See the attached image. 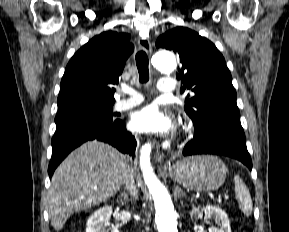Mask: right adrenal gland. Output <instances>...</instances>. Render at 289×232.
Wrapping results in <instances>:
<instances>
[{
    "label": "right adrenal gland",
    "mask_w": 289,
    "mask_h": 232,
    "mask_svg": "<svg viewBox=\"0 0 289 232\" xmlns=\"http://www.w3.org/2000/svg\"><path fill=\"white\" fill-rule=\"evenodd\" d=\"M121 197L124 199V202H129V196L125 192H121Z\"/></svg>",
    "instance_id": "right-adrenal-gland-1"
}]
</instances>
